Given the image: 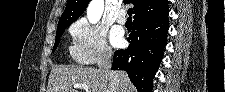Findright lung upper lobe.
Listing matches in <instances>:
<instances>
[{
	"instance_id": "cb5924a9",
	"label": "right lung upper lobe",
	"mask_w": 225,
	"mask_h": 92,
	"mask_svg": "<svg viewBox=\"0 0 225 92\" xmlns=\"http://www.w3.org/2000/svg\"><path fill=\"white\" fill-rule=\"evenodd\" d=\"M89 2L90 0H68L58 24L74 22L85 11ZM131 2L135 5L134 20L158 16L169 11L167 0H131Z\"/></svg>"
}]
</instances>
